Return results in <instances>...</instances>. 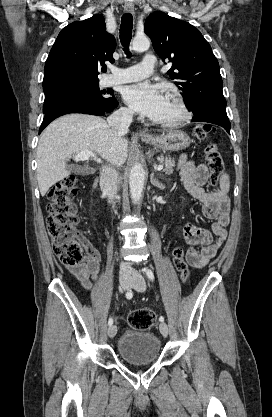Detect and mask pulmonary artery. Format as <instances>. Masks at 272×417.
<instances>
[{
	"instance_id": "pulmonary-artery-1",
	"label": "pulmonary artery",
	"mask_w": 272,
	"mask_h": 417,
	"mask_svg": "<svg viewBox=\"0 0 272 417\" xmlns=\"http://www.w3.org/2000/svg\"><path fill=\"white\" fill-rule=\"evenodd\" d=\"M155 64V56L147 54L139 64L124 69L113 70V74L105 79V84H122L144 79L153 72Z\"/></svg>"
}]
</instances>
